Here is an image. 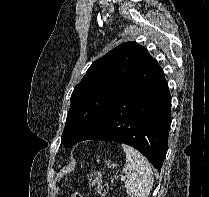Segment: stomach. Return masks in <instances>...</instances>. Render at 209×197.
Instances as JSON below:
<instances>
[{
  "label": "stomach",
  "mask_w": 209,
  "mask_h": 197,
  "mask_svg": "<svg viewBox=\"0 0 209 197\" xmlns=\"http://www.w3.org/2000/svg\"><path fill=\"white\" fill-rule=\"evenodd\" d=\"M105 164H106L108 167H111V166H112V164H111L110 161H108V162L106 161Z\"/></svg>",
  "instance_id": "1"
}]
</instances>
